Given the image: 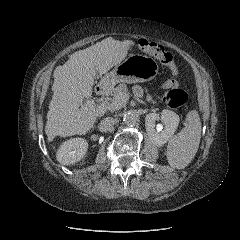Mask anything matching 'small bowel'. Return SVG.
<instances>
[{
	"instance_id": "small-bowel-1",
	"label": "small bowel",
	"mask_w": 240,
	"mask_h": 240,
	"mask_svg": "<svg viewBox=\"0 0 240 240\" xmlns=\"http://www.w3.org/2000/svg\"><path fill=\"white\" fill-rule=\"evenodd\" d=\"M177 85H178L177 81L173 79H168L164 84V88H175L177 87ZM136 93L139 95L141 94V91L139 88H136Z\"/></svg>"
}]
</instances>
